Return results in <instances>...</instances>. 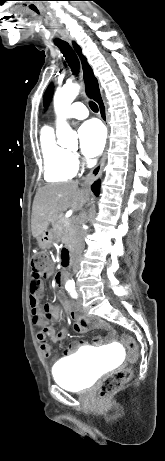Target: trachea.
Returning <instances> with one entry per match:
<instances>
[{
  "label": "trachea",
  "mask_w": 165,
  "mask_h": 461,
  "mask_svg": "<svg viewBox=\"0 0 165 461\" xmlns=\"http://www.w3.org/2000/svg\"><path fill=\"white\" fill-rule=\"evenodd\" d=\"M58 48L61 50V53L65 57L67 63L69 64L72 72L74 74L78 73L79 70V59L74 52V50L71 48V46L67 42L63 43H58L56 44ZM85 80L87 82V91L88 94L97 102L102 103V98L100 95V90L98 86V81L95 78L92 68L89 66V64L86 62V71H85ZM90 108L92 111L97 112L98 111V106L94 102H90Z\"/></svg>",
  "instance_id": "3493384b"
}]
</instances>
